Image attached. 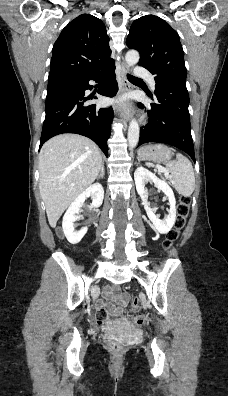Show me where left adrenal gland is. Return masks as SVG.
<instances>
[{"label": "left adrenal gland", "instance_id": "1", "mask_svg": "<svg viewBox=\"0 0 228 396\" xmlns=\"http://www.w3.org/2000/svg\"><path fill=\"white\" fill-rule=\"evenodd\" d=\"M137 160H138L137 164H140V159H139V158H137Z\"/></svg>", "mask_w": 228, "mask_h": 396}]
</instances>
